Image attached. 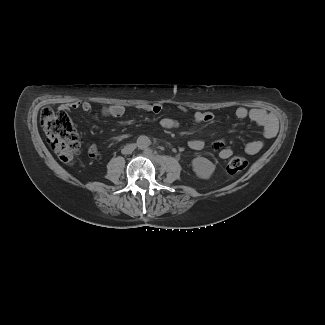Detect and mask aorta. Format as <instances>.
Listing matches in <instances>:
<instances>
[{
    "label": "aorta",
    "mask_w": 325,
    "mask_h": 325,
    "mask_svg": "<svg viewBox=\"0 0 325 325\" xmlns=\"http://www.w3.org/2000/svg\"><path fill=\"white\" fill-rule=\"evenodd\" d=\"M150 144V139L145 135L139 136L136 142V145L139 149H146L150 146Z\"/></svg>",
    "instance_id": "aorta-1"
}]
</instances>
